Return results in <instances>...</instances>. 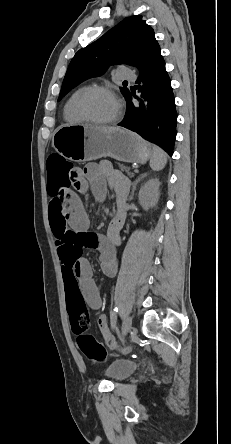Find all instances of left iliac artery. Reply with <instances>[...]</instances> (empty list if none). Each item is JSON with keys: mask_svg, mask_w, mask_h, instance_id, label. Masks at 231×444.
I'll use <instances>...</instances> for the list:
<instances>
[{"mask_svg": "<svg viewBox=\"0 0 231 444\" xmlns=\"http://www.w3.org/2000/svg\"><path fill=\"white\" fill-rule=\"evenodd\" d=\"M113 314L111 315V327L114 328L116 326V322H117V313H118V307L115 306V308L113 309Z\"/></svg>", "mask_w": 231, "mask_h": 444, "instance_id": "obj_1", "label": "left iliac artery"}]
</instances>
